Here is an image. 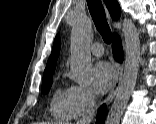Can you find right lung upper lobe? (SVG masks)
<instances>
[{
    "label": "right lung upper lobe",
    "mask_w": 156,
    "mask_h": 124,
    "mask_svg": "<svg viewBox=\"0 0 156 124\" xmlns=\"http://www.w3.org/2000/svg\"><path fill=\"white\" fill-rule=\"evenodd\" d=\"M104 2L106 4L112 18L118 19L121 14V9H120L118 2L116 0H104ZM60 45H61L60 37H59V35H57L55 37L52 53L48 59L43 77L53 75L55 66H56V61H57L59 51H60Z\"/></svg>",
    "instance_id": "right-lung-upper-lobe-1"
}]
</instances>
